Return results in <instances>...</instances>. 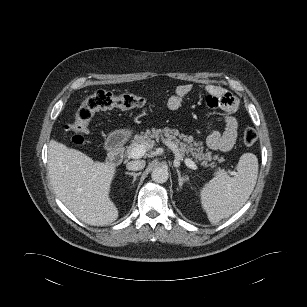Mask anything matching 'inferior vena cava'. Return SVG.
<instances>
[{
  "label": "inferior vena cava",
  "mask_w": 307,
  "mask_h": 307,
  "mask_svg": "<svg viewBox=\"0 0 307 307\" xmlns=\"http://www.w3.org/2000/svg\"><path fill=\"white\" fill-rule=\"evenodd\" d=\"M146 162L144 160H134L127 163L126 168L128 170H142L145 167Z\"/></svg>",
  "instance_id": "1"
}]
</instances>
